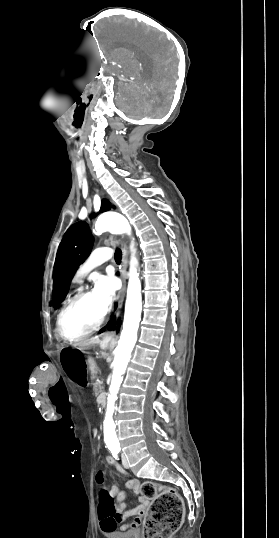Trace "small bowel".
Instances as JSON below:
<instances>
[{
    "label": "small bowel",
    "mask_w": 279,
    "mask_h": 538,
    "mask_svg": "<svg viewBox=\"0 0 279 538\" xmlns=\"http://www.w3.org/2000/svg\"><path fill=\"white\" fill-rule=\"evenodd\" d=\"M104 460L107 464L115 466L120 473L124 475L128 474L127 471L113 457L107 456ZM139 485L140 482L138 479H130L127 482V487L129 489H132L134 492L138 491ZM110 494L117 498L118 505L116 507V514L113 517H100L102 530L104 532L113 531L119 524H121L120 530L122 532L136 530L142 522L145 510L148 505L146 499L140 497V504L138 506L125 511V504L122 502L126 496L125 493L119 491L117 486H112ZM129 517H133V520L130 523H124V521Z\"/></svg>",
    "instance_id": "small-bowel-1"
}]
</instances>
